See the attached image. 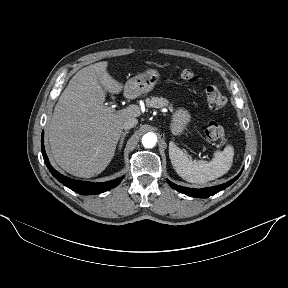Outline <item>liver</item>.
I'll return each mask as SVG.
<instances>
[{
    "mask_svg": "<svg viewBox=\"0 0 288 288\" xmlns=\"http://www.w3.org/2000/svg\"><path fill=\"white\" fill-rule=\"evenodd\" d=\"M102 61L79 70L61 94L50 120L48 138L56 163L68 173L90 178L112 160L126 119L140 116V108L106 112V94H119L123 85Z\"/></svg>",
    "mask_w": 288,
    "mask_h": 288,
    "instance_id": "6515ba94",
    "label": "liver"
}]
</instances>
